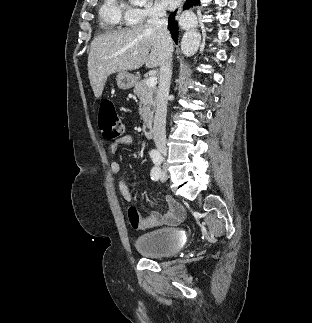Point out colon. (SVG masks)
I'll return each mask as SVG.
<instances>
[{"mask_svg": "<svg viewBox=\"0 0 312 323\" xmlns=\"http://www.w3.org/2000/svg\"><path fill=\"white\" fill-rule=\"evenodd\" d=\"M99 129L102 136L109 140L124 134L122 121L110 99L103 100L99 105Z\"/></svg>", "mask_w": 312, "mask_h": 323, "instance_id": "5ec220e1", "label": "colon"}]
</instances>
